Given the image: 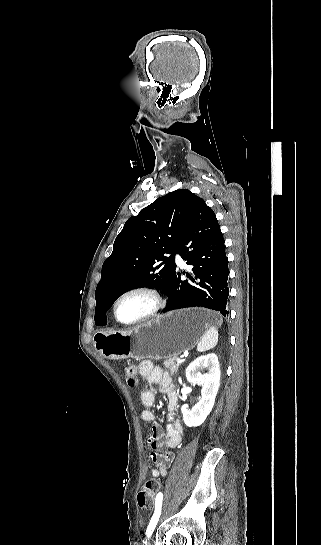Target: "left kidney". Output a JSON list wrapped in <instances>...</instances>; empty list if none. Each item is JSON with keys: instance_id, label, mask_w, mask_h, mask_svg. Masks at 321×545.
Returning <instances> with one entry per match:
<instances>
[{"instance_id": "obj_1", "label": "left kidney", "mask_w": 321, "mask_h": 545, "mask_svg": "<svg viewBox=\"0 0 321 545\" xmlns=\"http://www.w3.org/2000/svg\"><path fill=\"white\" fill-rule=\"evenodd\" d=\"M201 369H208V373L201 375ZM220 375L219 361L214 353L202 355V357H198L188 365L186 379L189 383L202 387V399L194 405L191 411L188 409V405H182L181 413L187 427H199L204 423L206 417L210 415L219 391Z\"/></svg>"}]
</instances>
